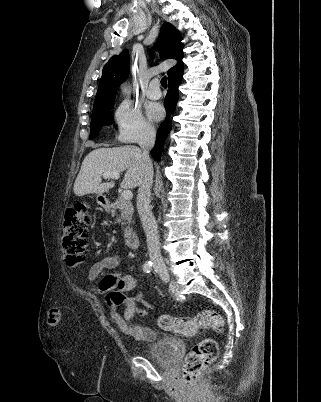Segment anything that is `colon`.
Masks as SVG:
<instances>
[{
    "mask_svg": "<svg viewBox=\"0 0 321 402\" xmlns=\"http://www.w3.org/2000/svg\"><path fill=\"white\" fill-rule=\"evenodd\" d=\"M88 208L83 205L69 207L65 211L62 227V246L69 267H77L83 260V253L87 245L90 226ZM125 294L111 291L106 300L109 306L117 307L126 301ZM62 314L58 309L49 312L48 321L51 326H58ZM158 325L163 330L177 334L193 335L200 329H211L222 333L225 329L223 317L214 310H202L193 318H178L162 315ZM218 346L213 339H204L194 345L186 356L182 369L183 380L187 384L193 383L202 372L217 358Z\"/></svg>",
    "mask_w": 321,
    "mask_h": 402,
    "instance_id": "5ec220e1",
    "label": "colon"
}]
</instances>
